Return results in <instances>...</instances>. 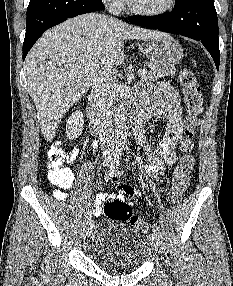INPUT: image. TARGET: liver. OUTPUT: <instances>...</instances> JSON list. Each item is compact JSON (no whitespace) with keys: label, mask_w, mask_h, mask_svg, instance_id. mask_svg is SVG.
I'll list each match as a JSON object with an SVG mask.
<instances>
[{"label":"liver","mask_w":233,"mask_h":286,"mask_svg":"<svg viewBox=\"0 0 233 286\" xmlns=\"http://www.w3.org/2000/svg\"><path fill=\"white\" fill-rule=\"evenodd\" d=\"M160 31L90 13L46 31L25 59L28 92L44 139L51 142L65 113L90 88L102 67L124 58L125 40H155Z\"/></svg>","instance_id":"1"}]
</instances>
